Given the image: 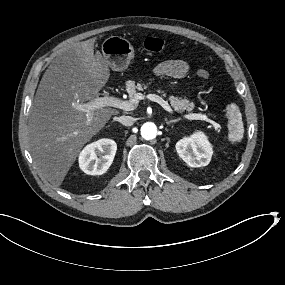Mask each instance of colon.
<instances>
[{
	"label": "colon",
	"instance_id": "obj_1",
	"mask_svg": "<svg viewBox=\"0 0 285 285\" xmlns=\"http://www.w3.org/2000/svg\"><path fill=\"white\" fill-rule=\"evenodd\" d=\"M143 45L147 51L154 52V53L163 52L167 50L170 46L167 40L155 38V37H148L147 39H145ZM196 74L200 78H204V79L208 78L210 75L209 72L205 69H198L196 71Z\"/></svg>",
	"mask_w": 285,
	"mask_h": 285
}]
</instances>
